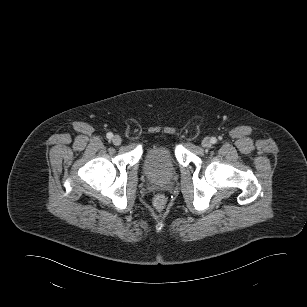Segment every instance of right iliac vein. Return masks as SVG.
Listing matches in <instances>:
<instances>
[{"label":"right iliac vein","mask_w":307,"mask_h":307,"mask_svg":"<svg viewBox=\"0 0 307 307\" xmlns=\"http://www.w3.org/2000/svg\"><path fill=\"white\" fill-rule=\"evenodd\" d=\"M112 142H113V144H114V145L118 146V145H120V144H121L122 139H121V137H120V136L115 135V136L113 137V139H112Z\"/></svg>","instance_id":"obj_1"}]
</instances>
